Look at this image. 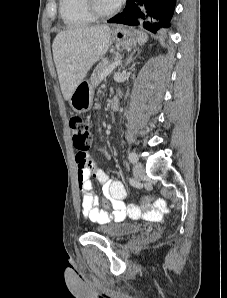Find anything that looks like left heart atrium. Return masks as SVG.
Returning a JSON list of instances; mask_svg holds the SVG:
<instances>
[{"instance_id": "obj_1", "label": "left heart atrium", "mask_w": 227, "mask_h": 298, "mask_svg": "<svg viewBox=\"0 0 227 298\" xmlns=\"http://www.w3.org/2000/svg\"><path fill=\"white\" fill-rule=\"evenodd\" d=\"M122 0H110V2L115 6L121 3Z\"/></svg>"}]
</instances>
